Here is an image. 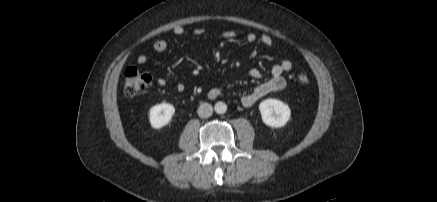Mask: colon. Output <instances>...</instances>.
I'll list each match as a JSON object with an SVG mask.
<instances>
[{
  "mask_svg": "<svg viewBox=\"0 0 437 202\" xmlns=\"http://www.w3.org/2000/svg\"><path fill=\"white\" fill-rule=\"evenodd\" d=\"M297 81L301 85L309 83V77L306 74H298ZM152 82V77L148 72L139 70L131 66L124 73V93L126 96L133 97L144 91Z\"/></svg>",
  "mask_w": 437,
  "mask_h": 202,
  "instance_id": "obj_1",
  "label": "colon"
}]
</instances>
